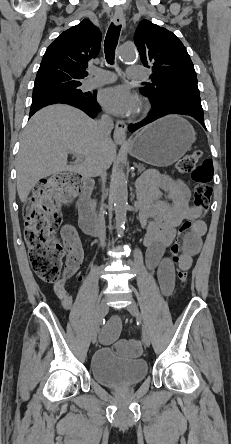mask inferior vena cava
<instances>
[{
	"mask_svg": "<svg viewBox=\"0 0 231 444\" xmlns=\"http://www.w3.org/2000/svg\"><path fill=\"white\" fill-rule=\"evenodd\" d=\"M98 127H99V131H100V135L103 139H108L109 138V134L112 131L113 127H114V123L113 120L111 119V117H109L108 115H103L101 117V119L98 122ZM106 166L104 164V162L101 160L99 161L93 168L92 170V174L93 176H100V177H104L105 173H106ZM98 205L100 206L99 209L96 210V213L98 215V230H100L101 232L99 233L101 236H105L107 233V231L109 230L105 225L106 223V217H105V207L103 199L99 198L98 200Z\"/></svg>",
	"mask_w": 231,
	"mask_h": 444,
	"instance_id": "obj_1",
	"label": "inferior vena cava"
}]
</instances>
